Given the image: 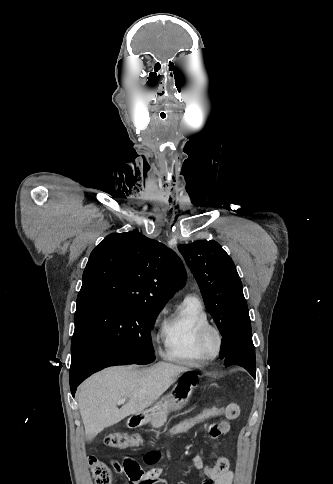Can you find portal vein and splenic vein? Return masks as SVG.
<instances>
[{
    "label": "portal vein and splenic vein",
    "mask_w": 333,
    "mask_h": 484,
    "mask_svg": "<svg viewBox=\"0 0 333 484\" xmlns=\"http://www.w3.org/2000/svg\"><path fill=\"white\" fill-rule=\"evenodd\" d=\"M125 402H126V400L122 398V399H119L117 401V404H120L121 405V404H124Z\"/></svg>",
    "instance_id": "obj_1"
}]
</instances>
